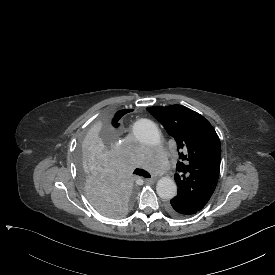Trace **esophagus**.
Wrapping results in <instances>:
<instances>
[{"mask_svg":"<svg viewBox=\"0 0 275 275\" xmlns=\"http://www.w3.org/2000/svg\"><path fill=\"white\" fill-rule=\"evenodd\" d=\"M144 181H145L146 183H149V184H150V183H153V182H154V179H145Z\"/></svg>","mask_w":275,"mask_h":275,"instance_id":"esophagus-1","label":"esophagus"}]
</instances>
